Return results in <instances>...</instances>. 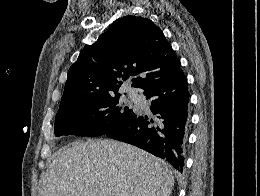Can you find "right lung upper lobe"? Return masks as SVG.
Returning <instances> with one entry per match:
<instances>
[{"label":"right lung upper lobe","mask_w":260,"mask_h":196,"mask_svg":"<svg viewBox=\"0 0 260 196\" xmlns=\"http://www.w3.org/2000/svg\"><path fill=\"white\" fill-rule=\"evenodd\" d=\"M180 69L158 26L141 16L121 17L70 67L59 110L94 94L118 93L129 76L138 75L132 86L144 89L173 78Z\"/></svg>","instance_id":"right-lung-upper-lobe-1"}]
</instances>
